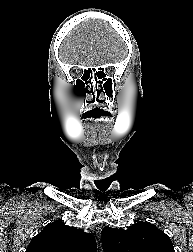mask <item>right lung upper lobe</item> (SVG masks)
Returning a JSON list of instances; mask_svg holds the SVG:
<instances>
[{"label":"right lung upper lobe","mask_w":193,"mask_h":252,"mask_svg":"<svg viewBox=\"0 0 193 252\" xmlns=\"http://www.w3.org/2000/svg\"><path fill=\"white\" fill-rule=\"evenodd\" d=\"M96 248L93 235L55 221L32 239L26 252H96Z\"/></svg>","instance_id":"1"}]
</instances>
